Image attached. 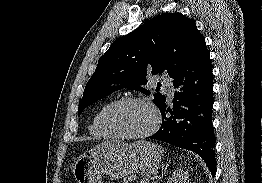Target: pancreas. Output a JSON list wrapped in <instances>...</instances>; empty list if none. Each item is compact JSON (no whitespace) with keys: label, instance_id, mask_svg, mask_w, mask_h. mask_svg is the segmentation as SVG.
I'll use <instances>...</instances> for the list:
<instances>
[{"label":"pancreas","instance_id":"cf45deb5","mask_svg":"<svg viewBox=\"0 0 262 183\" xmlns=\"http://www.w3.org/2000/svg\"><path fill=\"white\" fill-rule=\"evenodd\" d=\"M134 180V177L133 176H128L126 178H124L123 182L122 183H130Z\"/></svg>","mask_w":262,"mask_h":183}]
</instances>
